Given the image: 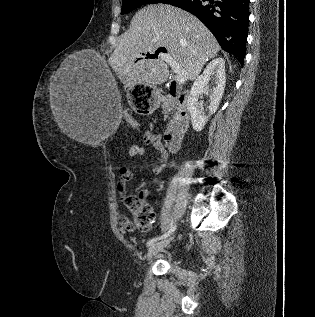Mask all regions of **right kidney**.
Returning <instances> with one entry per match:
<instances>
[{
	"label": "right kidney",
	"instance_id": "obj_1",
	"mask_svg": "<svg viewBox=\"0 0 315 317\" xmlns=\"http://www.w3.org/2000/svg\"><path fill=\"white\" fill-rule=\"evenodd\" d=\"M211 77H213L215 87L213 88L209 99V114L205 115L202 110V105L198 102V98L204 91H206ZM225 83V60L223 58L213 59L206 66L202 75L195 80L187 103L192 127L196 132H200L204 128L208 118L218 109L224 93Z\"/></svg>",
	"mask_w": 315,
	"mask_h": 317
}]
</instances>
